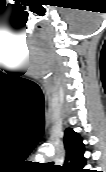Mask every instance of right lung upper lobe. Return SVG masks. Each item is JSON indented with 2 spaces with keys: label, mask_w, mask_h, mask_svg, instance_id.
Listing matches in <instances>:
<instances>
[{
  "label": "right lung upper lobe",
  "mask_w": 106,
  "mask_h": 172,
  "mask_svg": "<svg viewBox=\"0 0 106 172\" xmlns=\"http://www.w3.org/2000/svg\"><path fill=\"white\" fill-rule=\"evenodd\" d=\"M66 150V158L62 172H86L83 167L86 164V158L83 156L85 152L82 138L73 129L67 128L63 138Z\"/></svg>",
  "instance_id": "right-lung-upper-lobe-1"
}]
</instances>
